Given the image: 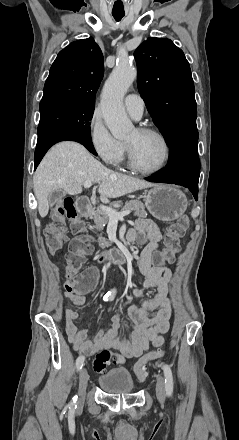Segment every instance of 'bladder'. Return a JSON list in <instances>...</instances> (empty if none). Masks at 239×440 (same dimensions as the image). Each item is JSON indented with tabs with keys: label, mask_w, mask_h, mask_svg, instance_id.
<instances>
[{
	"label": "bladder",
	"mask_w": 239,
	"mask_h": 440,
	"mask_svg": "<svg viewBox=\"0 0 239 440\" xmlns=\"http://www.w3.org/2000/svg\"><path fill=\"white\" fill-rule=\"evenodd\" d=\"M98 383L103 391L111 394H128L134 390L132 376L123 369H114L101 375Z\"/></svg>",
	"instance_id": "1"
}]
</instances>
